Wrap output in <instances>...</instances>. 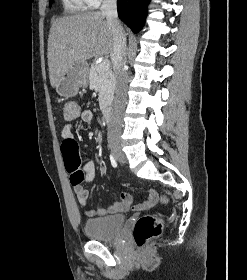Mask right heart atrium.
<instances>
[{
    "mask_svg": "<svg viewBox=\"0 0 247 280\" xmlns=\"http://www.w3.org/2000/svg\"><path fill=\"white\" fill-rule=\"evenodd\" d=\"M103 0H86L87 4L91 7L98 6Z\"/></svg>",
    "mask_w": 247,
    "mask_h": 280,
    "instance_id": "right-heart-atrium-1",
    "label": "right heart atrium"
}]
</instances>
